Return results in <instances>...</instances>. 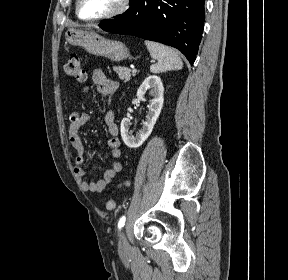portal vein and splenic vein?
<instances>
[{
    "label": "portal vein and splenic vein",
    "instance_id": "portal-vein-and-splenic-vein-1",
    "mask_svg": "<svg viewBox=\"0 0 288 280\" xmlns=\"http://www.w3.org/2000/svg\"><path fill=\"white\" fill-rule=\"evenodd\" d=\"M137 72V69H132V73H136Z\"/></svg>",
    "mask_w": 288,
    "mask_h": 280
}]
</instances>
